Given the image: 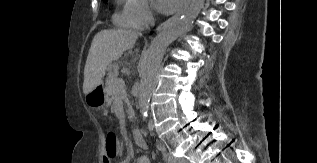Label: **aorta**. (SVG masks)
Wrapping results in <instances>:
<instances>
[{
	"label": "aorta",
	"mask_w": 317,
	"mask_h": 163,
	"mask_svg": "<svg viewBox=\"0 0 317 163\" xmlns=\"http://www.w3.org/2000/svg\"><path fill=\"white\" fill-rule=\"evenodd\" d=\"M205 0H191L187 10L178 18L169 21L152 40L140 66V87L138 106L143 120L148 117L152 91L156 84L157 72L167 47L186 32L199 15Z\"/></svg>",
	"instance_id": "obj_1"
}]
</instances>
